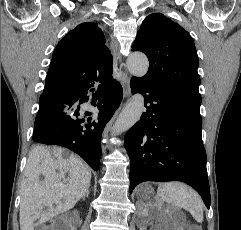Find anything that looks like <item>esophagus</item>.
I'll list each match as a JSON object with an SVG mask.
<instances>
[{
	"label": "esophagus",
	"mask_w": 241,
	"mask_h": 230,
	"mask_svg": "<svg viewBox=\"0 0 241 230\" xmlns=\"http://www.w3.org/2000/svg\"><path fill=\"white\" fill-rule=\"evenodd\" d=\"M110 48H111V52H112V55L113 57L119 62L120 66H122V56L119 52V46L117 44V42L115 41H112L111 42V45H110ZM121 84H122V87H123V90H124V95L125 97H129L130 95V81H129V78L126 77L125 79H122L121 80Z\"/></svg>",
	"instance_id": "obj_1"
}]
</instances>
